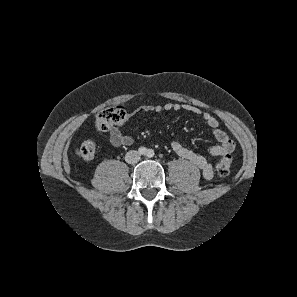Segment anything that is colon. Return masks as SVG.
I'll list each match as a JSON object with an SVG mask.
<instances>
[{"label":"colon","mask_w":297,"mask_h":297,"mask_svg":"<svg viewBox=\"0 0 297 297\" xmlns=\"http://www.w3.org/2000/svg\"><path fill=\"white\" fill-rule=\"evenodd\" d=\"M126 117V110L121 106L105 109L97 116V126L102 131L110 130L116 124L121 123ZM77 155L84 160H91L96 154V144L91 140H85L78 144ZM232 165V157L226 154L217 163V172L220 176H227Z\"/></svg>","instance_id":"1"}]
</instances>
